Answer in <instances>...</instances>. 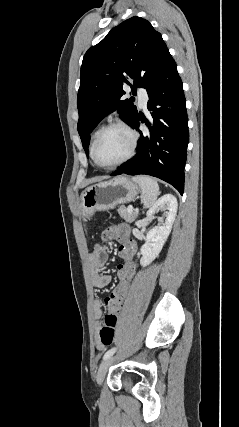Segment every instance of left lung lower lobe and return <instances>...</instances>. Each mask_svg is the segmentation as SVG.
Returning a JSON list of instances; mask_svg holds the SVG:
<instances>
[{
	"mask_svg": "<svg viewBox=\"0 0 239 427\" xmlns=\"http://www.w3.org/2000/svg\"><path fill=\"white\" fill-rule=\"evenodd\" d=\"M146 90L151 117L148 120L139 113L130 126L138 129L142 122L149 132L144 135L140 132L137 154L111 176H154L173 185L182 195L189 131L186 100L175 61Z\"/></svg>",
	"mask_w": 239,
	"mask_h": 427,
	"instance_id": "1",
	"label": "left lung lower lobe"
}]
</instances>
